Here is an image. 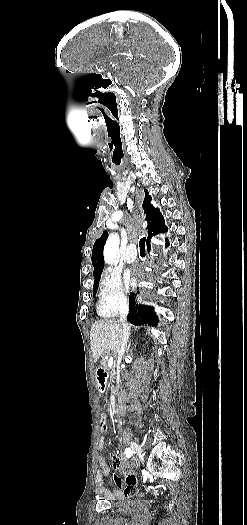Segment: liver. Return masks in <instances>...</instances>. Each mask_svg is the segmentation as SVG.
Returning a JSON list of instances; mask_svg holds the SVG:
<instances>
[{
	"mask_svg": "<svg viewBox=\"0 0 247 525\" xmlns=\"http://www.w3.org/2000/svg\"><path fill=\"white\" fill-rule=\"evenodd\" d=\"M121 335L122 325L119 319H102L93 323L90 343L94 363L108 351L118 353Z\"/></svg>",
	"mask_w": 247,
	"mask_h": 525,
	"instance_id": "1",
	"label": "liver"
}]
</instances>
